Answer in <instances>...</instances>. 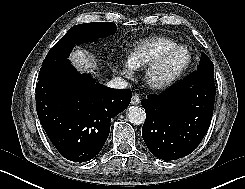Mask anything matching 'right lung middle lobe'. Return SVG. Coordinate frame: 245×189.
Instances as JSON below:
<instances>
[{"label":"right lung middle lobe","instance_id":"dd1d6c3e","mask_svg":"<svg viewBox=\"0 0 245 189\" xmlns=\"http://www.w3.org/2000/svg\"><path fill=\"white\" fill-rule=\"evenodd\" d=\"M116 26L112 22H93L73 26L48 52L40 68L38 78L49 75L53 69L68 61V57L75 45L96 41L113 35Z\"/></svg>","mask_w":245,"mask_h":189}]
</instances>
